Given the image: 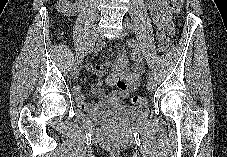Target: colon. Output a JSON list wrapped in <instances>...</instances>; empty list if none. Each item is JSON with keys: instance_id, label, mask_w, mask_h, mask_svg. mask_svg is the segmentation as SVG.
<instances>
[{"instance_id": "5ec220e1", "label": "colon", "mask_w": 227, "mask_h": 157, "mask_svg": "<svg viewBox=\"0 0 227 157\" xmlns=\"http://www.w3.org/2000/svg\"><path fill=\"white\" fill-rule=\"evenodd\" d=\"M171 2L175 12H179L182 8L183 0H171ZM158 39L159 48L162 52H167L171 49L172 44L166 28L158 29ZM132 103L140 107H145L147 105V98L141 95H136L132 97Z\"/></svg>"}]
</instances>
